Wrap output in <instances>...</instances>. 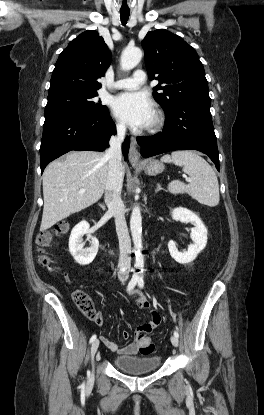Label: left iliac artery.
I'll use <instances>...</instances> for the list:
<instances>
[{
	"instance_id": "obj_1",
	"label": "left iliac artery",
	"mask_w": 264,
	"mask_h": 415,
	"mask_svg": "<svg viewBox=\"0 0 264 415\" xmlns=\"http://www.w3.org/2000/svg\"><path fill=\"white\" fill-rule=\"evenodd\" d=\"M137 283H138V286H139L140 288H143V286H144V280H143V277L137 276ZM174 335H175L177 338L179 337V333H178L177 331H174Z\"/></svg>"
}]
</instances>
